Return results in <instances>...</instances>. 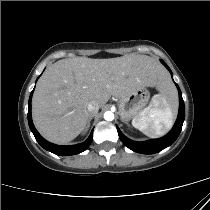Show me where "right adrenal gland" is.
Segmentation results:
<instances>
[{
	"label": "right adrenal gland",
	"instance_id": "1",
	"mask_svg": "<svg viewBox=\"0 0 210 210\" xmlns=\"http://www.w3.org/2000/svg\"><path fill=\"white\" fill-rule=\"evenodd\" d=\"M92 118H93V115H90L89 119H88V122H87V125H86V127L84 129V132H86L88 130V128L90 127V122H91Z\"/></svg>",
	"mask_w": 210,
	"mask_h": 210
}]
</instances>
